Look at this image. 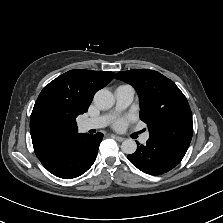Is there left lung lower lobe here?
Wrapping results in <instances>:
<instances>
[{"instance_id":"left-lung-lower-lobe-1","label":"left lung lower lobe","mask_w":223,"mask_h":223,"mask_svg":"<svg viewBox=\"0 0 223 223\" xmlns=\"http://www.w3.org/2000/svg\"><path fill=\"white\" fill-rule=\"evenodd\" d=\"M186 151L187 149L149 138L146 145L138 146L135 153L128 155V159L142 172L160 175L178 165Z\"/></svg>"}]
</instances>
